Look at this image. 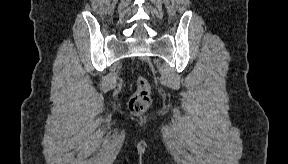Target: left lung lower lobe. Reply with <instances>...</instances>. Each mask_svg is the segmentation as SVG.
Returning <instances> with one entry per match:
<instances>
[{
  "label": "left lung lower lobe",
  "mask_w": 288,
  "mask_h": 164,
  "mask_svg": "<svg viewBox=\"0 0 288 164\" xmlns=\"http://www.w3.org/2000/svg\"><path fill=\"white\" fill-rule=\"evenodd\" d=\"M254 75V89L251 91L252 96L262 101L264 99V90L267 86V78L262 72H253Z\"/></svg>",
  "instance_id": "1"
}]
</instances>
